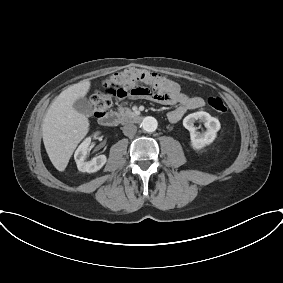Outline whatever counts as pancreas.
I'll list each match as a JSON object with an SVG mask.
<instances>
[{"mask_svg":"<svg viewBox=\"0 0 283 283\" xmlns=\"http://www.w3.org/2000/svg\"><path fill=\"white\" fill-rule=\"evenodd\" d=\"M118 111L122 116H128L132 114L131 110L127 107L119 106Z\"/></svg>","mask_w":283,"mask_h":283,"instance_id":"1","label":"pancreas"}]
</instances>
